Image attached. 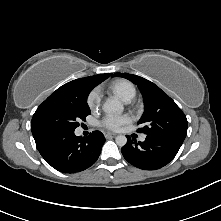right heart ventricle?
Listing matches in <instances>:
<instances>
[{
	"instance_id": "obj_1",
	"label": "right heart ventricle",
	"mask_w": 221,
	"mask_h": 221,
	"mask_svg": "<svg viewBox=\"0 0 221 221\" xmlns=\"http://www.w3.org/2000/svg\"><path fill=\"white\" fill-rule=\"evenodd\" d=\"M109 90L125 102L133 100L136 96V87L126 79H117L109 84Z\"/></svg>"
}]
</instances>
